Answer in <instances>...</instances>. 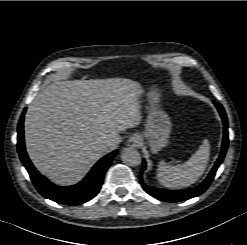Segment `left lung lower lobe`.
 Segmentation results:
<instances>
[{
	"label": "left lung lower lobe",
	"instance_id": "obj_1",
	"mask_svg": "<svg viewBox=\"0 0 247 245\" xmlns=\"http://www.w3.org/2000/svg\"><path fill=\"white\" fill-rule=\"evenodd\" d=\"M216 106V108L218 109L222 120H223V124H224V137H223V144H222V149H221V153L219 155V158L217 159L214 167L212 168L211 172L209 173L208 177L197 187L186 190V191H181V192H161V191H153L151 189H149L143 182L142 180V176H140V183L143 187V189L150 194L151 196L162 200V201H166V202H180V201H185L188 200L190 198L199 196L200 194H202L211 184V182L213 181V178L215 176V173L218 169V167L220 166V164L222 163L225 153L227 151L228 148V122H227V117L224 111V108L222 107V105L216 101L213 102ZM146 169V162L143 161V170Z\"/></svg>",
	"mask_w": 247,
	"mask_h": 245
}]
</instances>
